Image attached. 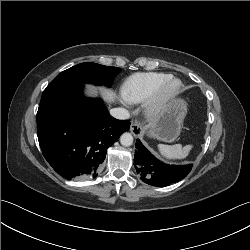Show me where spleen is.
Here are the masks:
<instances>
[{"label":"spleen","instance_id":"spleen-1","mask_svg":"<svg viewBox=\"0 0 250 250\" xmlns=\"http://www.w3.org/2000/svg\"><path fill=\"white\" fill-rule=\"evenodd\" d=\"M192 145H186L182 146L181 144H175V145H159L158 149L162 156H164L166 159H184L186 158L190 151L192 150Z\"/></svg>","mask_w":250,"mask_h":250}]
</instances>
